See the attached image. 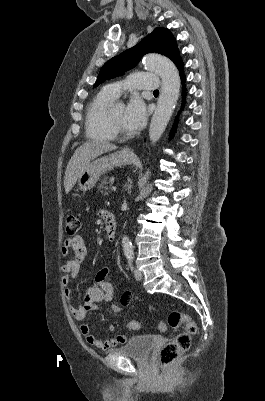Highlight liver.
<instances>
[{"label":"liver","mask_w":265,"mask_h":401,"mask_svg":"<svg viewBox=\"0 0 265 401\" xmlns=\"http://www.w3.org/2000/svg\"><path fill=\"white\" fill-rule=\"evenodd\" d=\"M115 148H118V146L112 144V142H107V140H87V142L78 146L67 164L64 176L66 194L70 192L71 188L76 184L77 178H79L81 172L85 170L90 160H93V158H96L99 154H103V152L115 150Z\"/></svg>","instance_id":"liver-1"}]
</instances>
